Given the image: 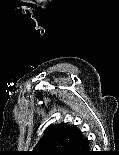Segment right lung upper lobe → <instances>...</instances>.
Wrapping results in <instances>:
<instances>
[{
  "instance_id": "1",
  "label": "right lung upper lobe",
  "mask_w": 119,
  "mask_h": 155,
  "mask_svg": "<svg viewBox=\"0 0 119 155\" xmlns=\"http://www.w3.org/2000/svg\"><path fill=\"white\" fill-rule=\"evenodd\" d=\"M82 138L81 131L75 125H52L47 128L31 155H63L71 145Z\"/></svg>"
}]
</instances>
